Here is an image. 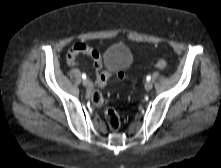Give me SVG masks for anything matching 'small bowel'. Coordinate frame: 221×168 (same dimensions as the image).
Masks as SVG:
<instances>
[{
    "instance_id": "1",
    "label": "small bowel",
    "mask_w": 221,
    "mask_h": 168,
    "mask_svg": "<svg viewBox=\"0 0 221 168\" xmlns=\"http://www.w3.org/2000/svg\"><path fill=\"white\" fill-rule=\"evenodd\" d=\"M80 54L90 57L93 62V66L96 71L94 84L98 87H105L114 72L111 69L100 71L103 66V61L99 52L95 48L90 47L84 43H77L69 50L67 54L68 64L71 66L77 65V56ZM117 77L118 79H123L124 73L119 72Z\"/></svg>"
}]
</instances>
